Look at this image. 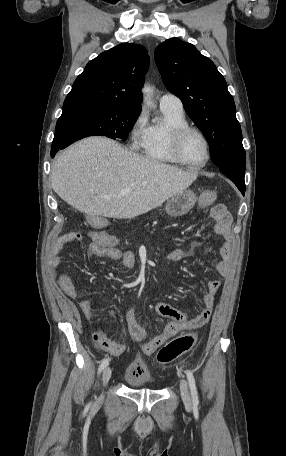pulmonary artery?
Wrapping results in <instances>:
<instances>
[{"instance_id":"pulmonary-artery-1","label":"pulmonary artery","mask_w":286,"mask_h":456,"mask_svg":"<svg viewBox=\"0 0 286 456\" xmlns=\"http://www.w3.org/2000/svg\"><path fill=\"white\" fill-rule=\"evenodd\" d=\"M160 107L183 112L182 101L172 93H165L161 96Z\"/></svg>"}]
</instances>
